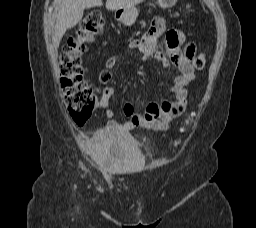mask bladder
Masks as SVG:
<instances>
[{"label":"bladder","instance_id":"obj_1","mask_svg":"<svg viewBox=\"0 0 256 228\" xmlns=\"http://www.w3.org/2000/svg\"><path fill=\"white\" fill-rule=\"evenodd\" d=\"M94 151L104 165L114 162L120 168H135L143 165L144 155L138 143L125 134L103 133L96 137Z\"/></svg>","mask_w":256,"mask_h":228}]
</instances>
